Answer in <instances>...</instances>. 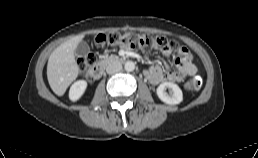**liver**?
I'll list each match as a JSON object with an SVG mask.
<instances>
[{"label":"liver","instance_id":"1","mask_svg":"<svg viewBox=\"0 0 258 158\" xmlns=\"http://www.w3.org/2000/svg\"><path fill=\"white\" fill-rule=\"evenodd\" d=\"M84 35H77L58 46L50 55L47 64V79L53 92L62 96L77 78L79 67L75 60V50Z\"/></svg>","mask_w":258,"mask_h":158}]
</instances>
